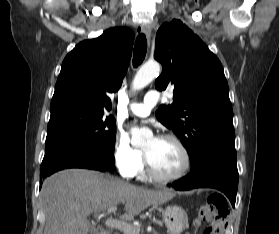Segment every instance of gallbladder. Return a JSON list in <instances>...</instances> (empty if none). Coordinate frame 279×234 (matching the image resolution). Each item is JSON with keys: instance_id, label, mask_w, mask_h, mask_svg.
Returning a JSON list of instances; mask_svg holds the SVG:
<instances>
[{"instance_id": "bac80fb5", "label": "gallbladder", "mask_w": 279, "mask_h": 234, "mask_svg": "<svg viewBox=\"0 0 279 234\" xmlns=\"http://www.w3.org/2000/svg\"><path fill=\"white\" fill-rule=\"evenodd\" d=\"M90 231H91V234H95V228L94 227H91Z\"/></svg>"}]
</instances>
